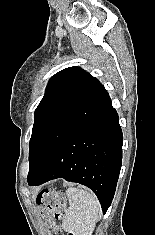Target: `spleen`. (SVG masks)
Returning <instances> with one entry per match:
<instances>
[{
    "mask_svg": "<svg viewBox=\"0 0 155 235\" xmlns=\"http://www.w3.org/2000/svg\"><path fill=\"white\" fill-rule=\"evenodd\" d=\"M69 208L65 212L62 228L75 235H92L101 214L95 194L81 188H68Z\"/></svg>",
    "mask_w": 155,
    "mask_h": 235,
    "instance_id": "3e777b00",
    "label": "spleen"
}]
</instances>
